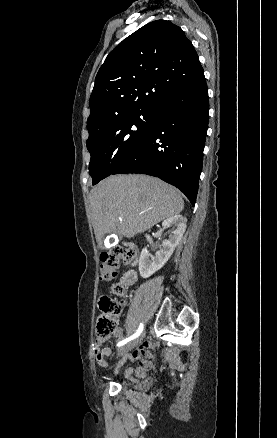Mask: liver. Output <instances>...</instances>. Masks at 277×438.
Segmentation results:
<instances>
[{"label": "liver", "instance_id": "obj_1", "mask_svg": "<svg viewBox=\"0 0 277 438\" xmlns=\"http://www.w3.org/2000/svg\"><path fill=\"white\" fill-rule=\"evenodd\" d=\"M89 200L98 246L117 228L125 238H134L184 210L176 188L143 174L110 176L94 186Z\"/></svg>", "mask_w": 277, "mask_h": 438}]
</instances>
